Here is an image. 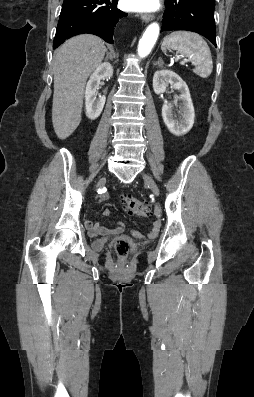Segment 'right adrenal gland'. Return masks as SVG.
<instances>
[{"label": "right adrenal gland", "instance_id": "obj_1", "mask_svg": "<svg viewBox=\"0 0 254 397\" xmlns=\"http://www.w3.org/2000/svg\"><path fill=\"white\" fill-rule=\"evenodd\" d=\"M106 53H107V55H106L105 60H107V59L109 58V52H108V50H106ZM110 58H111V56H110Z\"/></svg>", "mask_w": 254, "mask_h": 397}]
</instances>
